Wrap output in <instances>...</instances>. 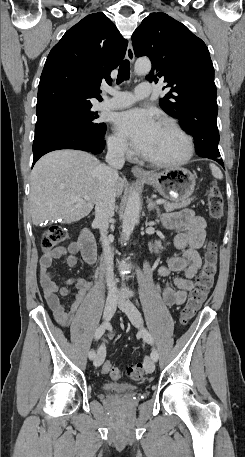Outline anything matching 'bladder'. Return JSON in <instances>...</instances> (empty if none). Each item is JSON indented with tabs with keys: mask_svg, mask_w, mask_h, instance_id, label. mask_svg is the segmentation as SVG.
Returning a JSON list of instances; mask_svg holds the SVG:
<instances>
[{
	"mask_svg": "<svg viewBox=\"0 0 245 457\" xmlns=\"http://www.w3.org/2000/svg\"><path fill=\"white\" fill-rule=\"evenodd\" d=\"M131 386L119 382H107L102 384V389L111 394H121L131 389Z\"/></svg>",
	"mask_w": 245,
	"mask_h": 457,
	"instance_id": "31cf9c89",
	"label": "bladder"
}]
</instances>
